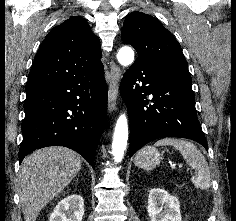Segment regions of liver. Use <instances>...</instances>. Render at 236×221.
<instances>
[{
  "mask_svg": "<svg viewBox=\"0 0 236 221\" xmlns=\"http://www.w3.org/2000/svg\"><path fill=\"white\" fill-rule=\"evenodd\" d=\"M81 157L66 147L51 146L27 156L20 168L19 195L25 221H36L40 211L72 181Z\"/></svg>",
  "mask_w": 236,
  "mask_h": 221,
  "instance_id": "obj_1",
  "label": "liver"
}]
</instances>
